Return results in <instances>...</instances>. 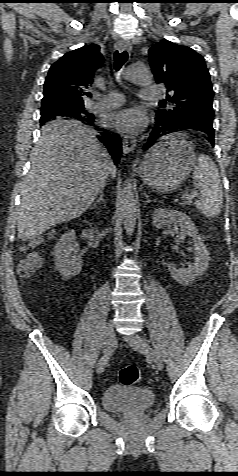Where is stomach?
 <instances>
[{"label": "stomach", "instance_id": "1", "mask_svg": "<svg viewBox=\"0 0 238 476\" xmlns=\"http://www.w3.org/2000/svg\"><path fill=\"white\" fill-rule=\"evenodd\" d=\"M196 161L191 144L181 134L162 138L146 154L139 167L143 182L159 192L176 190Z\"/></svg>", "mask_w": 238, "mask_h": 476}]
</instances>
